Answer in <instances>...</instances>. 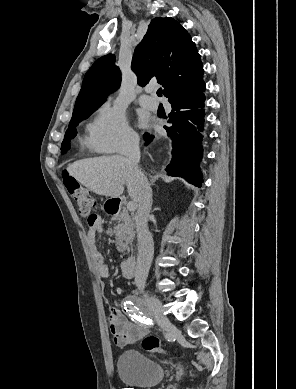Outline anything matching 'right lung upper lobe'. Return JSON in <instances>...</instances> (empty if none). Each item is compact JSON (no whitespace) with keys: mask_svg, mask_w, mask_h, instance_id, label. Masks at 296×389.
Wrapping results in <instances>:
<instances>
[{"mask_svg":"<svg viewBox=\"0 0 296 389\" xmlns=\"http://www.w3.org/2000/svg\"><path fill=\"white\" fill-rule=\"evenodd\" d=\"M112 54L96 60L84 76L73 113L99 107L117 90L121 73ZM138 84L157 80L170 98L178 90H193L205 84L200 54L188 32L173 18H154L134 51L131 64Z\"/></svg>","mask_w":296,"mask_h":389,"instance_id":"obj_1","label":"right lung upper lobe"}]
</instances>
